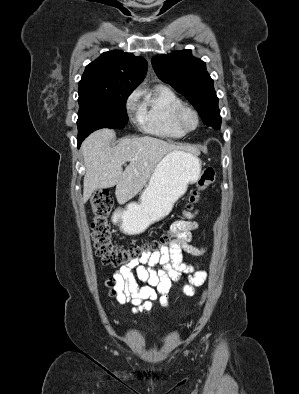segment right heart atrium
I'll return each instance as SVG.
<instances>
[{"label": "right heart atrium", "instance_id": "right-heart-atrium-1", "mask_svg": "<svg viewBox=\"0 0 299 394\" xmlns=\"http://www.w3.org/2000/svg\"><path fill=\"white\" fill-rule=\"evenodd\" d=\"M139 96H140V91H139V90H136V91L130 96L129 101H128V109H129V110H134V109H136V107H137V101H138Z\"/></svg>", "mask_w": 299, "mask_h": 394}]
</instances>
